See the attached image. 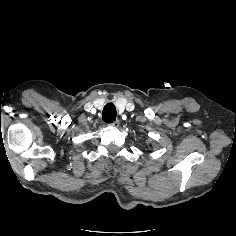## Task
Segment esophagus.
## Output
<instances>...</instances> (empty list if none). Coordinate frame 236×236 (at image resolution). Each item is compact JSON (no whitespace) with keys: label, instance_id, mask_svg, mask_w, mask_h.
<instances>
[{"label":"esophagus","instance_id":"esophagus-1","mask_svg":"<svg viewBox=\"0 0 236 236\" xmlns=\"http://www.w3.org/2000/svg\"><path fill=\"white\" fill-rule=\"evenodd\" d=\"M112 127H119V125H120V121L119 120H116V121H114L113 123H111L110 124Z\"/></svg>","mask_w":236,"mask_h":236}]
</instances>
